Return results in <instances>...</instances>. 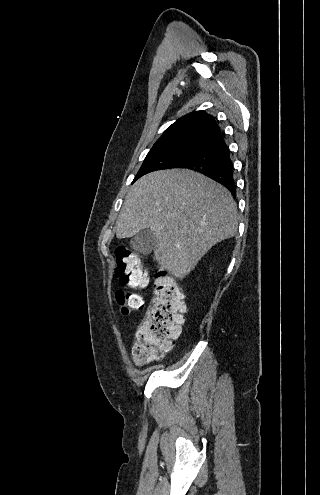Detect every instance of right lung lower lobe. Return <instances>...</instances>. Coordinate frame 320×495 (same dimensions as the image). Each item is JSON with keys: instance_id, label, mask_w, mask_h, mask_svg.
<instances>
[{"instance_id": "obj_1", "label": "right lung lower lobe", "mask_w": 320, "mask_h": 495, "mask_svg": "<svg viewBox=\"0 0 320 495\" xmlns=\"http://www.w3.org/2000/svg\"><path fill=\"white\" fill-rule=\"evenodd\" d=\"M177 168H188L200 172L221 183L232 193L233 197L236 196L233 164L222 133L206 141L196 153Z\"/></svg>"}]
</instances>
